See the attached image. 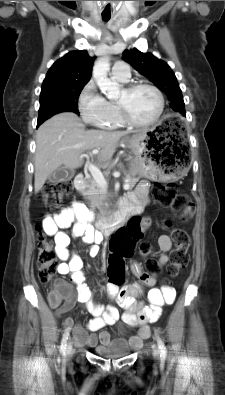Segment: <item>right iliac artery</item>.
<instances>
[{"mask_svg": "<svg viewBox=\"0 0 225 395\" xmlns=\"http://www.w3.org/2000/svg\"><path fill=\"white\" fill-rule=\"evenodd\" d=\"M69 332H70V330H69V328H67L63 334V337H62V341H61V345H60V352L63 354V356H65Z\"/></svg>", "mask_w": 225, "mask_h": 395, "instance_id": "right-iliac-artery-1", "label": "right iliac artery"}]
</instances>
